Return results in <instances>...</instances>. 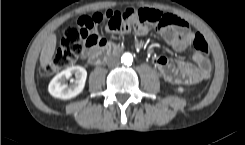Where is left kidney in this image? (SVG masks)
<instances>
[{
	"mask_svg": "<svg viewBox=\"0 0 245 145\" xmlns=\"http://www.w3.org/2000/svg\"><path fill=\"white\" fill-rule=\"evenodd\" d=\"M177 91H178L179 93H183V92H184V88H183V87H178V88H177Z\"/></svg>",
	"mask_w": 245,
	"mask_h": 145,
	"instance_id": "1",
	"label": "left kidney"
}]
</instances>
